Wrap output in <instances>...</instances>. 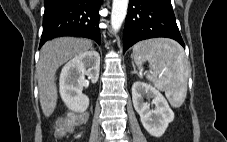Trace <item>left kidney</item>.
<instances>
[{
  "instance_id": "5707ae66",
  "label": "left kidney",
  "mask_w": 227,
  "mask_h": 142,
  "mask_svg": "<svg viewBox=\"0 0 227 142\" xmlns=\"http://www.w3.org/2000/svg\"><path fill=\"white\" fill-rule=\"evenodd\" d=\"M144 97L153 98L154 109L144 102ZM132 100L145 130L154 137L162 136L174 120V112L164 96L153 86L137 81L132 86Z\"/></svg>"
}]
</instances>
